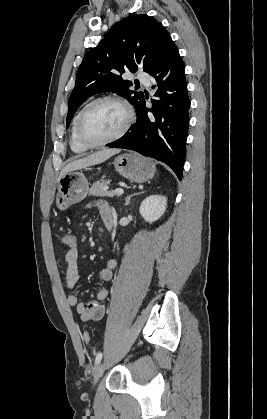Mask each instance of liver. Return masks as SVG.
Returning <instances> with one entry per match:
<instances>
[{"label":"liver","mask_w":267,"mask_h":419,"mask_svg":"<svg viewBox=\"0 0 267 419\" xmlns=\"http://www.w3.org/2000/svg\"><path fill=\"white\" fill-rule=\"evenodd\" d=\"M119 152H120L119 149L105 148V149H102L100 151L94 152V153H92V154H90V155H88L84 158L74 160V161L70 162L69 164H67L61 170L60 177H62L67 172L74 171V170H79V169H82V168H86V167H89V166H93V165L105 162L111 156H113V155H115Z\"/></svg>","instance_id":"liver-1"}]
</instances>
